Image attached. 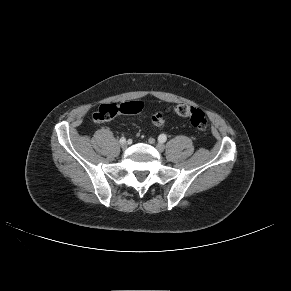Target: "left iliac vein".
I'll list each match as a JSON object with an SVG mask.
<instances>
[{"label": "left iliac vein", "mask_w": 291, "mask_h": 291, "mask_svg": "<svg viewBox=\"0 0 291 291\" xmlns=\"http://www.w3.org/2000/svg\"><path fill=\"white\" fill-rule=\"evenodd\" d=\"M156 148L159 152H163L165 149V146L162 143H157Z\"/></svg>", "instance_id": "obj_1"}]
</instances>
